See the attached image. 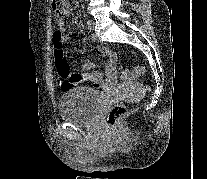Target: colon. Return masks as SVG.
Instances as JSON below:
<instances>
[{"label":"colon","mask_w":207,"mask_h":179,"mask_svg":"<svg viewBox=\"0 0 207 179\" xmlns=\"http://www.w3.org/2000/svg\"><path fill=\"white\" fill-rule=\"evenodd\" d=\"M52 8L58 17H63L67 13L68 2L67 0H52ZM52 39L54 47V66L58 85L62 90L66 91L79 82V77L71 73L70 66L65 59L62 32L60 30H55ZM144 73L145 69L143 67H135L133 70L122 69L121 77L124 81H131L144 75ZM148 88V86L145 87V89ZM126 114V106L122 103L116 104L107 112L106 123L112 127L117 126Z\"/></svg>","instance_id":"1"}]
</instances>
